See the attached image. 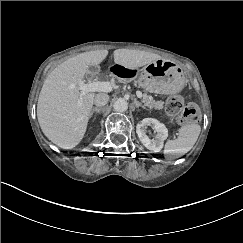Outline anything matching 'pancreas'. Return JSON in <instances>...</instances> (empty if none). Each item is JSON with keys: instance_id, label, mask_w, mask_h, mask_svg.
Segmentation results:
<instances>
[{"instance_id": "1", "label": "pancreas", "mask_w": 243, "mask_h": 243, "mask_svg": "<svg viewBox=\"0 0 243 243\" xmlns=\"http://www.w3.org/2000/svg\"><path fill=\"white\" fill-rule=\"evenodd\" d=\"M142 102L150 109H155L160 111L163 110L164 108V102L153 100L152 98H150V95L147 92L143 93Z\"/></svg>"}]
</instances>
